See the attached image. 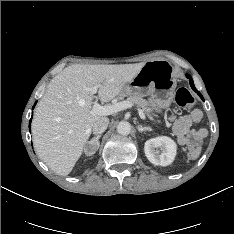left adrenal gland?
I'll use <instances>...</instances> for the list:
<instances>
[{"label":"left adrenal gland","mask_w":234,"mask_h":234,"mask_svg":"<svg viewBox=\"0 0 234 234\" xmlns=\"http://www.w3.org/2000/svg\"><path fill=\"white\" fill-rule=\"evenodd\" d=\"M137 128H138L139 132L152 131V128H150V127H143L141 125H138Z\"/></svg>","instance_id":"obj_1"}]
</instances>
